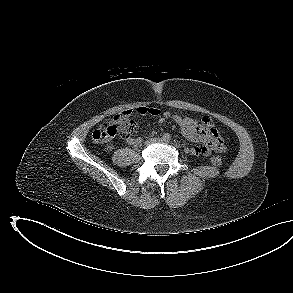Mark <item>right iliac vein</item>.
I'll use <instances>...</instances> for the list:
<instances>
[{
	"label": "right iliac vein",
	"mask_w": 293,
	"mask_h": 293,
	"mask_svg": "<svg viewBox=\"0 0 293 293\" xmlns=\"http://www.w3.org/2000/svg\"><path fill=\"white\" fill-rule=\"evenodd\" d=\"M156 141H158V139H156V138H151V139L147 140L145 144H146V145H150L151 143H154V142H156Z\"/></svg>",
	"instance_id": "right-iliac-vein-1"
}]
</instances>
